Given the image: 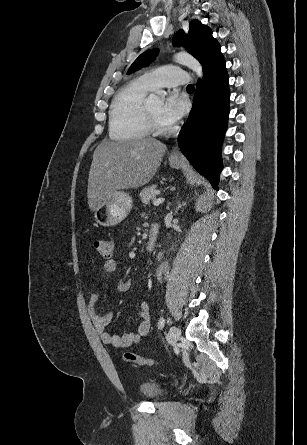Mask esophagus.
Returning <instances> with one entry per match:
<instances>
[{
    "instance_id": "1",
    "label": "esophagus",
    "mask_w": 307,
    "mask_h": 445,
    "mask_svg": "<svg viewBox=\"0 0 307 445\" xmlns=\"http://www.w3.org/2000/svg\"><path fill=\"white\" fill-rule=\"evenodd\" d=\"M170 158H178V159L182 158L177 145L173 146L171 154H170Z\"/></svg>"
}]
</instances>
